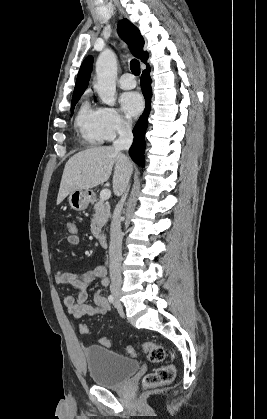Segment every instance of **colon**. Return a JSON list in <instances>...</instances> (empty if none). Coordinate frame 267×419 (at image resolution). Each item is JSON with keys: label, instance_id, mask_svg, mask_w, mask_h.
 Listing matches in <instances>:
<instances>
[{"label": "colon", "instance_id": "colon-1", "mask_svg": "<svg viewBox=\"0 0 267 419\" xmlns=\"http://www.w3.org/2000/svg\"><path fill=\"white\" fill-rule=\"evenodd\" d=\"M65 231L67 233V241L70 245H77L79 243L78 226L73 221L65 223ZM81 334H87L89 332L86 324H81L79 327ZM101 345L105 347L110 346V340L107 337H103L100 340ZM143 351L147 354V358L152 363H162L166 359V352L164 348L153 342H144L141 345ZM127 354L130 356L136 355V350L132 346L126 348ZM175 378V368L173 365H161L156 368L153 372L147 374L144 377L143 383L148 387H156L172 382Z\"/></svg>", "mask_w": 267, "mask_h": 419}]
</instances>
